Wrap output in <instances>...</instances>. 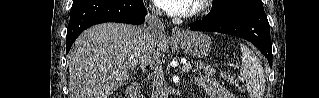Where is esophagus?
Segmentation results:
<instances>
[{
  "label": "esophagus",
  "mask_w": 319,
  "mask_h": 98,
  "mask_svg": "<svg viewBox=\"0 0 319 98\" xmlns=\"http://www.w3.org/2000/svg\"><path fill=\"white\" fill-rule=\"evenodd\" d=\"M172 36L175 39H181L185 36V32L179 27H174L172 29Z\"/></svg>",
  "instance_id": "34e87169"
}]
</instances>
